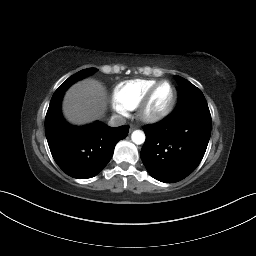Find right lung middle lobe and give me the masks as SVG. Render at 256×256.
<instances>
[{
	"mask_svg": "<svg viewBox=\"0 0 256 256\" xmlns=\"http://www.w3.org/2000/svg\"><path fill=\"white\" fill-rule=\"evenodd\" d=\"M97 71L96 68H88V69H84L81 70L79 72H77L76 74L72 75L71 77H69L54 93L53 96L58 95V94H63L66 89L73 84L74 82L88 76L89 74L93 73Z\"/></svg>",
	"mask_w": 256,
	"mask_h": 256,
	"instance_id": "right-lung-middle-lobe-1",
	"label": "right lung middle lobe"
}]
</instances>
